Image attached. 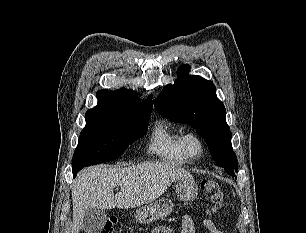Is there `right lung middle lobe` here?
<instances>
[{
	"instance_id": "right-lung-middle-lobe-1",
	"label": "right lung middle lobe",
	"mask_w": 306,
	"mask_h": 233,
	"mask_svg": "<svg viewBox=\"0 0 306 233\" xmlns=\"http://www.w3.org/2000/svg\"><path fill=\"white\" fill-rule=\"evenodd\" d=\"M150 114L126 115L113 112H86V126L73 155V173L83 167L112 161L147 131Z\"/></svg>"
}]
</instances>
